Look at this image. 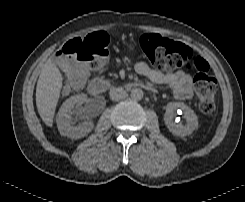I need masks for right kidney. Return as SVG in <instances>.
Listing matches in <instances>:
<instances>
[{"label": "right kidney", "mask_w": 245, "mask_h": 202, "mask_svg": "<svg viewBox=\"0 0 245 202\" xmlns=\"http://www.w3.org/2000/svg\"><path fill=\"white\" fill-rule=\"evenodd\" d=\"M87 101L86 94L74 95L68 98L61 106L56 123L59 132L71 139H77L86 136L94 127L93 122L84 121L79 125H74L73 116L76 119H83V111L78 106L84 104Z\"/></svg>", "instance_id": "ca27d5eb"}]
</instances>
